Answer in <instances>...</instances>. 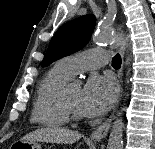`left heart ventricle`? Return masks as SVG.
<instances>
[{
    "mask_svg": "<svg viewBox=\"0 0 155 149\" xmlns=\"http://www.w3.org/2000/svg\"><path fill=\"white\" fill-rule=\"evenodd\" d=\"M81 89L76 87H67L66 96L69 103L78 111H80V98H81Z\"/></svg>",
    "mask_w": 155,
    "mask_h": 149,
    "instance_id": "1",
    "label": "left heart ventricle"
}]
</instances>
